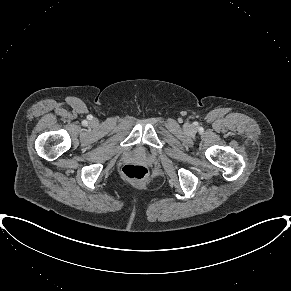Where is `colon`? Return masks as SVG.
<instances>
[{
    "label": "colon",
    "mask_w": 291,
    "mask_h": 291,
    "mask_svg": "<svg viewBox=\"0 0 291 291\" xmlns=\"http://www.w3.org/2000/svg\"><path fill=\"white\" fill-rule=\"evenodd\" d=\"M122 173L127 179L135 182H143L148 177L147 168L138 164H126L122 168Z\"/></svg>",
    "instance_id": "5ec220e1"
}]
</instances>
